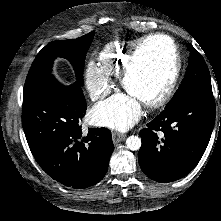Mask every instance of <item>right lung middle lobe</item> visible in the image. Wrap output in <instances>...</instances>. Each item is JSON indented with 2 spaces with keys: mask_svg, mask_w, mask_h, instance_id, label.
<instances>
[{
  "mask_svg": "<svg viewBox=\"0 0 221 221\" xmlns=\"http://www.w3.org/2000/svg\"><path fill=\"white\" fill-rule=\"evenodd\" d=\"M94 31L71 40L53 41L36 56L24 85V93L34 89L39 82L52 77V64L56 57L67 59L74 67L77 83L83 85V69L86 53L94 37Z\"/></svg>",
  "mask_w": 221,
  "mask_h": 221,
  "instance_id": "1",
  "label": "right lung middle lobe"
}]
</instances>
